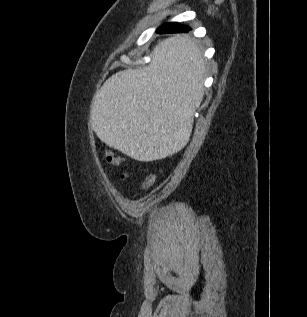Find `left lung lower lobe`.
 Instances as JSON below:
<instances>
[{
	"label": "left lung lower lobe",
	"mask_w": 307,
	"mask_h": 317,
	"mask_svg": "<svg viewBox=\"0 0 307 317\" xmlns=\"http://www.w3.org/2000/svg\"><path fill=\"white\" fill-rule=\"evenodd\" d=\"M172 24L165 23L157 28L156 32L159 34H168V33H187L191 30L189 26L181 25L179 27H172ZM187 42V39L180 38L175 40L176 45H180L181 43Z\"/></svg>",
	"instance_id": "obj_1"
}]
</instances>
